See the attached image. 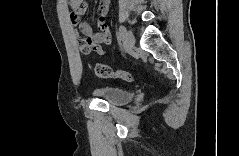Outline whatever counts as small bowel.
Wrapping results in <instances>:
<instances>
[{
	"instance_id": "1",
	"label": "small bowel",
	"mask_w": 239,
	"mask_h": 156,
	"mask_svg": "<svg viewBox=\"0 0 239 156\" xmlns=\"http://www.w3.org/2000/svg\"><path fill=\"white\" fill-rule=\"evenodd\" d=\"M69 20L77 28L78 45L80 50L89 54L96 52L98 55H105L106 51L102 44L112 45V37L109 31L106 18L110 9V1L102 0L98 6V31L94 32L91 25L81 20V16L87 9V3L83 0L69 1Z\"/></svg>"
}]
</instances>
